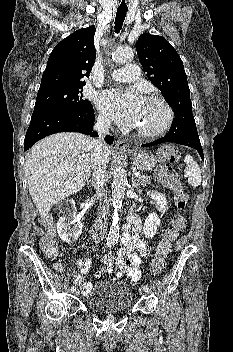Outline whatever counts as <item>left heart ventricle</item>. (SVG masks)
<instances>
[{
	"label": "left heart ventricle",
	"instance_id": "b2bd125f",
	"mask_svg": "<svg viewBox=\"0 0 233 352\" xmlns=\"http://www.w3.org/2000/svg\"><path fill=\"white\" fill-rule=\"evenodd\" d=\"M165 117V110L160 103L153 100H143L135 128L141 130L156 129L164 122Z\"/></svg>",
	"mask_w": 233,
	"mask_h": 352
}]
</instances>
